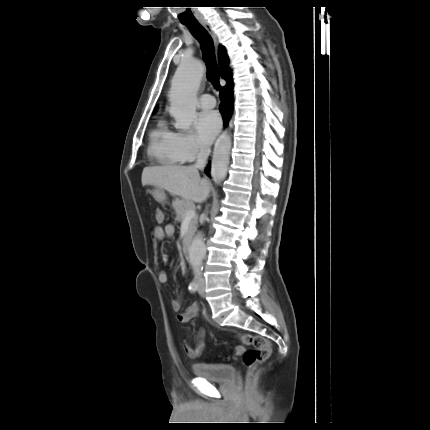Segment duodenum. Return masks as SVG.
Listing matches in <instances>:
<instances>
[{
  "instance_id": "obj_1",
  "label": "duodenum",
  "mask_w": 430,
  "mask_h": 430,
  "mask_svg": "<svg viewBox=\"0 0 430 430\" xmlns=\"http://www.w3.org/2000/svg\"><path fill=\"white\" fill-rule=\"evenodd\" d=\"M191 247V241H190V239H186L185 241H184V243H183V247H182V251H183V255H184V257L186 258V260H190V255H191V253H190V248Z\"/></svg>"
}]
</instances>
